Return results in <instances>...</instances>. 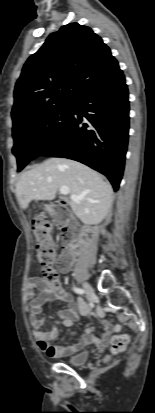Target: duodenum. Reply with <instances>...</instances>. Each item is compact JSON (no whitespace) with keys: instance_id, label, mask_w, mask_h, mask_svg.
<instances>
[{"instance_id":"duodenum-1","label":"duodenum","mask_w":155,"mask_h":413,"mask_svg":"<svg viewBox=\"0 0 155 413\" xmlns=\"http://www.w3.org/2000/svg\"><path fill=\"white\" fill-rule=\"evenodd\" d=\"M84 236L89 237L90 236V232H87ZM76 251V249H75Z\"/></svg>"}]
</instances>
